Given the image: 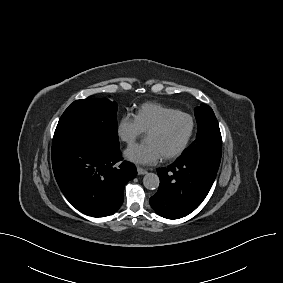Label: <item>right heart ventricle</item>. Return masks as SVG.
Here are the masks:
<instances>
[{
    "mask_svg": "<svg viewBox=\"0 0 283 283\" xmlns=\"http://www.w3.org/2000/svg\"><path fill=\"white\" fill-rule=\"evenodd\" d=\"M178 110L161 103L149 102L141 105L135 116L144 132H148L166 115Z\"/></svg>",
    "mask_w": 283,
    "mask_h": 283,
    "instance_id": "right-heart-ventricle-1",
    "label": "right heart ventricle"
}]
</instances>
